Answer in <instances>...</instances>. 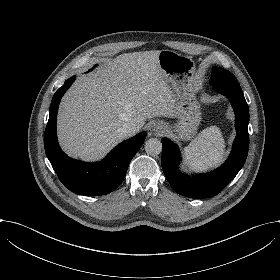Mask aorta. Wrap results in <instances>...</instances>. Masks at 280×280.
<instances>
[{"label":"aorta","instance_id":"aorta-1","mask_svg":"<svg viewBox=\"0 0 280 280\" xmlns=\"http://www.w3.org/2000/svg\"><path fill=\"white\" fill-rule=\"evenodd\" d=\"M162 151V143L158 138H149L145 141V152L152 156L160 154Z\"/></svg>","mask_w":280,"mask_h":280}]
</instances>
